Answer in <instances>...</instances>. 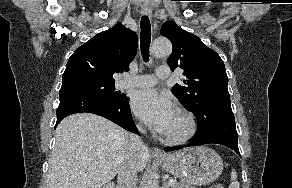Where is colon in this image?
Returning <instances> with one entry per match:
<instances>
[{
  "instance_id": "1",
  "label": "colon",
  "mask_w": 292,
  "mask_h": 188,
  "mask_svg": "<svg viewBox=\"0 0 292 188\" xmlns=\"http://www.w3.org/2000/svg\"><path fill=\"white\" fill-rule=\"evenodd\" d=\"M210 188H223V186L221 184H216L211 186Z\"/></svg>"
}]
</instances>
